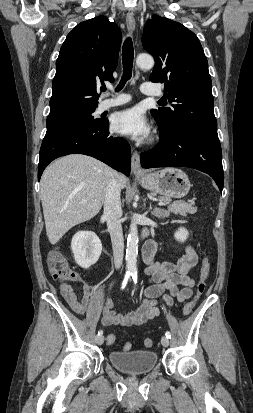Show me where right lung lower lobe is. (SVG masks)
<instances>
[{
  "mask_svg": "<svg viewBox=\"0 0 253 413\" xmlns=\"http://www.w3.org/2000/svg\"><path fill=\"white\" fill-rule=\"evenodd\" d=\"M108 124L105 120L95 128L69 129L46 134L40 149L38 180L51 161L68 154L92 156L129 176L130 146L124 139L110 136Z\"/></svg>",
  "mask_w": 253,
  "mask_h": 413,
  "instance_id": "98d812e1",
  "label": "right lung lower lobe"
}]
</instances>
